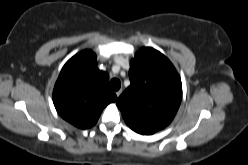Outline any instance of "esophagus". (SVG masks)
I'll use <instances>...</instances> for the list:
<instances>
[{
  "mask_svg": "<svg viewBox=\"0 0 248 165\" xmlns=\"http://www.w3.org/2000/svg\"><path fill=\"white\" fill-rule=\"evenodd\" d=\"M121 93H122V89L116 91V96L119 97L121 95Z\"/></svg>",
  "mask_w": 248,
  "mask_h": 165,
  "instance_id": "obj_1",
  "label": "esophagus"
}]
</instances>
